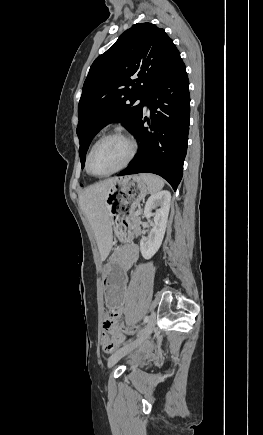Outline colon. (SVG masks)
Returning a JSON list of instances; mask_svg holds the SVG:
<instances>
[{
	"label": "colon",
	"mask_w": 263,
	"mask_h": 435,
	"mask_svg": "<svg viewBox=\"0 0 263 435\" xmlns=\"http://www.w3.org/2000/svg\"><path fill=\"white\" fill-rule=\"evenodd\" d=\"M119 324L120 327L125 331V335H139L141 333L139 330L145 327L143 324H126V321H120ZM115 341L117 340L115 339Z\"/></svg>",
	"instance_id": "obj_1"
}]
</instances>
